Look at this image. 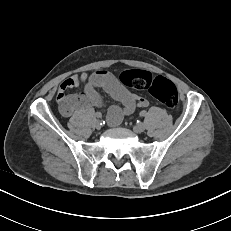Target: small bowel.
Wrapping results in <instances>:
<instances>
[{
  "label": "small bowel",
  "instance_id": "small-bowel-1",
  "mask_svg": "<svg viewBox=\"0 0 231 231\" xmlns=\"http://www.w3.org/2000/svg\"><path fill=\"white\" fill-rule=\"evenodd\" d=\"M80 85H83L82 93H66ZM98 89L104 90L121 104L120 107H112L108 111L107 119L112 126L118 125L125 115L133 113L136 108L148 106L145 98L132 92L116 75L106 70H98L90 75L85 72L73 75L61 83L56 96L60 113L64 117H71L78 111L101 107L103 101Z\"/></svg>",
  "mask_w": 231,
  "mask_h": 231
}]
</instances>
